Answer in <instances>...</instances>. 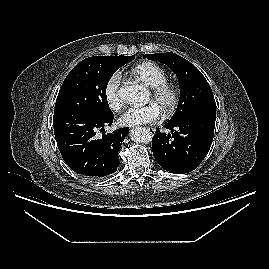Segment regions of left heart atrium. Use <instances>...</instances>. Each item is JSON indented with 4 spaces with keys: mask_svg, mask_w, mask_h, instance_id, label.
Returning a JSON list of instances; mask_svg holds the SVG:
<instances>
[{
    "mask_svg": "<svg viewBox=\"0 0 269 269\" xmlns=\"http://www.w3.org/2000/svg\"><path fill=\"white\" fill-rule=\"evenodd\" d=\"M161 117V109L155 102L146 106L128 108L119 118L122 126H136L157 122Z\"/></svg>",
    "mask_w": 269,
    "mask_h": 269,
    "instance_id": "obj_1",
    "label": "left heart atrium"
}]
</instances>
